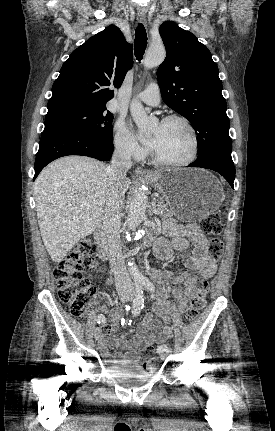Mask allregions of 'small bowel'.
I'll list each match as a JSON object with an SVG mask.
<instances>
[{"label":"small bowel","instance_id":"small-bowel-1","mask_svg":"<svg viewBox=\"0 0 275 431\" xmlns=\"http://www.w3.org/2000/svg\"><path fill=\"white\" fill-rule=\"evenodd\" d=\"M164 232L172 240L158 238L155 241V254L160 260H170L176 253L192 246L191 254L184 264L187 271L172 278L173 283L183 284L184 289L172 292L174 304L167 300L156 303L132 338L117 335L122 311L115 308L110 312L111 320L105 325L98 346L105 357L114 361H138L147 347L153 348L168 341L172 337V321L185 310L188 298L196 291L198 277L209 278L216 271V260L207 252L208 240L196 225H183L168 220L164 224ZM167 276H172V273L167 272ZM162 294L167 295V291L163 290ZM109 343L117 349L116 352L110 353Z\"/></svg>","mask_w":275,"mask_h":431}]
</instances>
